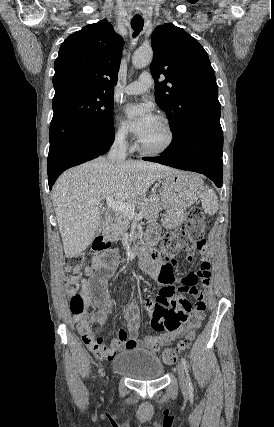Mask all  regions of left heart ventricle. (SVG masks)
I'll return each instance as SVG.
<instances>
[{"mask_svg":"<svg viewBox=\"0 0 274 427\" xmlns=\"http://www.w3.org/2000/svg\"><path fill=\"white\" fill-rule=\"evenodd\" d=\"M139 141L142 146L148 149L158 150L167 143L168 132L164 125L158 119H155L148 132Z\"/></svg>","mask_w":274,"mask_h":427,"instance_id":"1","label":"left heart ventricle"}]
</instances>
